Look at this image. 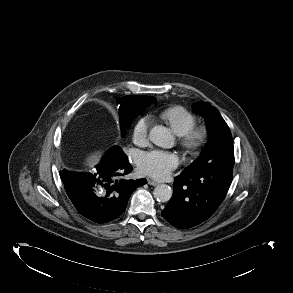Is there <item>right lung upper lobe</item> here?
<instances>
[{
	"instance_id": "obj_1",
	"label": "right lung upper lobe",
	"mask_w": 293,
	"mask_h": 293,
	"mask_svg": "<svg viewBox=\"0 0 293 293\" xmlns=\"http://www.w3.org/2000/svg\"><path fill=\"white\" fill-rule=\"evenodd\" d=\"M156 100L155 97L144 96V95H128L123 99H120L118 103L120 104V117L127 113L129 110H136L140 108H145L147 105L152 104Z\"/></svg>"
}]
</instances>
